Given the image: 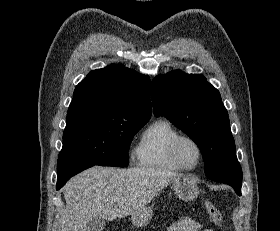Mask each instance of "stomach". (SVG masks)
Returning a JSON list of instances; mask_svg holds the SVG:
<instances>
[{
    "label": "stomach",
    "instance_id": "0dacf381",
    "mask_svg": "<svg viewBox=\"0 0 280 231\" xmlns=\"http://www.w3.org/2000/svg\"><path fill=\"white\" fill-rule=\"evenodd\" d=\"M172 187L179 199H183V201H193V199L199 195L197 179L192 177V175L175 177V179H173ZM131 219L132 223L137 225V227H144V225L150 223V219H152L151 207H144L140 215H131Z\"/></svg>",
    "mask_w": 280,
    "mask_h": 231
}]
</instances>
